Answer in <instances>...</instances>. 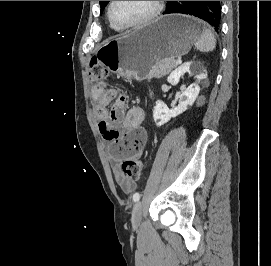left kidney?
Here are the masks:
<instances>
[{
    "mask_svg": "<svg viewBox=\"0 0 271 266\" xmlns=\"http://www.w3.org/2000/svg\"><path fill=\"white\" fill-rule=\"evenodd\" d=\"M187 72L195 75L196 82L189 85L183 91L180 96L179 104L174 109L170 110L167 105L161 101L156 103L153 109V118L157 126H162L170 121L171 118L182 114L189 106H192L197 99L200 92L198 82L207 78L204 68L199 63L187 62L182 64L169 75L167 81L171 85H176L179 83L180 77Z\"/></svg>",
    "mask_w": 271,
    "mask_h": 266,
    "instance_id": "left-kidney-1",
    "label": "left kidney"
}]
</instances>
